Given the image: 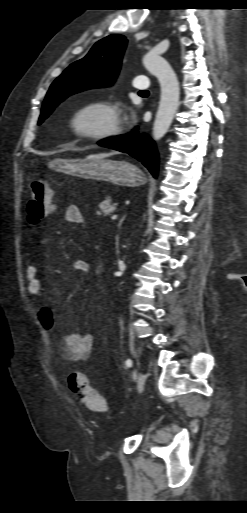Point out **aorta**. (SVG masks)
Returning <instances> with one entry per match:
<instances>
[{
    "instance_id": "obj_1",
    "label": "aorta",
    "mask_w": 247,
    "mask_h": 513,
    "mask_svg": "<svg viewBox=\"0 0 247 513\" xmlns=\"http://www.w3.org/2000/svg\"><path fill=\"white\" fill-rule=\"evenodd\" d=\"M144 67L160 84L161 94L153 124V139L160 140L169 130L179 105V82L170 64L159 55L149 52L143 58Z\"/></svg>"
}]
</instances>
